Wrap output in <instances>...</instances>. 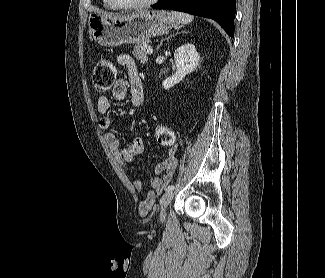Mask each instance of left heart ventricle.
Listing matches in <instances>:
<instances>
[{
	"label": "left heart ventricle",
	"instance_id": "left-heart-ventricle-1",
	"mask_svg": "<svg viewBox=\"0 0 325 278\" xmlns=\"http://www.w3.org/2000/svg\"><path fill=\"white\" fill-rule=\"evenodd\" d=\"M126 3H140V2H143V1H146V0H122Z\"/></svg>",
	"mask_w": 325,
	"mask_h": 278
}]
</instances>
